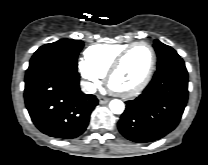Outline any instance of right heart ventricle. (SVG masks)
<instances>
[{
    "mask_svg": "<svg viewBox=\"0 0 208 165\" xmlns=\"http://www.w3.org/2000/svg\"><path fill=\"white\" fill-rule=\"evenodd\" d=\"M131 44L128 43H98L89 46L84 51L87 63L101 76L106 75L110 65L117 55Z\"/></svg>",
    "mask_w": 208,
    "mask_h": 165,
    "instance_id": "1",
    "label": "right heart ventricle"
}]
</instances>
